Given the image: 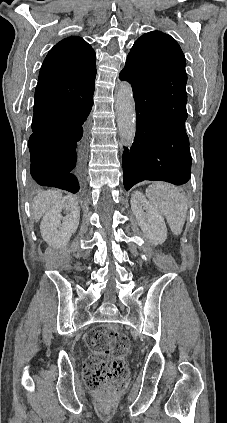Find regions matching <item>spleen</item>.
<instances>
[{
  "label": "spleen",
  "instance_id": "1",
  "mask_svg": "<svg viewBox=\"0 0 227 423\" xmlns=\"http://www.w3.org/2000/svg\"><path fill=\"white\" fill-rule=\"evenodd\" d=\"M146 196L150 200V206L165 215L171 231L180 235L188 210L186 196L166 182H155L148 186Z\"/></svg>",
  "mask_w": 227,
  "mask_h": 423
}]
</instances>
